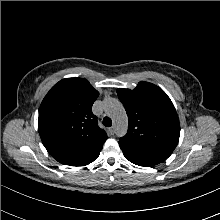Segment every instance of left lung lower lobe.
I'll use <instances>...</instances> for the list:
<instances>
[{
	"instance_id": "left-lung-lower-lobe-1",
	"label": "left lung lower lobe",
	"mask_w": 220,
	"mask_h": 220,
	"mask_svg": "<svg viewBox=\"0 0 220 220\" xmlns=\"http://www.w3.org/2000/svg\"><path fill=\"white\" fill-rule=\"evenodd\" d=\"M125 158L127 160H129L130 162H132L133 164H136V165H139V166H145V167H150V166H153V164L147 162V161H144V160H141L139 158H136L130 154H127L125 152H123Z\"/></svg>"
}]
</instances>
